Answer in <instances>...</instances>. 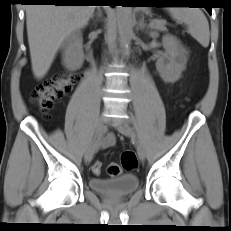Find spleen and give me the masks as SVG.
Wrapping results in <instances>:
<instances>
[{"instance_id":"1","label":"spleen","mask_w":231,"mask_h":231,"mask_svg":"<svg viewBox=\"0 0 231 231\" xmlns=\"http://www.w3.org/2000/svg\"><path fill=\"white\" fill-rule=\"evenodd\" d=\"M171 16L187 25L188 32L203 47H208L210 40L209 24L204 13L198 8L169 7Z\"/></svg>"}]
</instances>
